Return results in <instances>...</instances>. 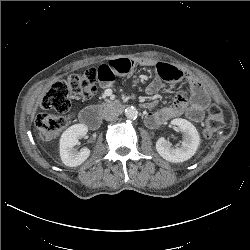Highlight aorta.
Listing matches in <instances>:
<instances>
[{
  "instance_id": "1",
  "label": "aorta",
  "mask_w": 250,
  "mask_h": 250,
  "mask_svg": "<svg viewBox=\"0 0 250 250\" xmlns=\"http://www.w3.org/2000/svg\"><path fill=\"white\" fill-rule=\"evenodd\" d=\"M125 116L128 119H136L138 116V111L135 107L131 106V107H127L125 109Z\"/></svg>"
}]
</instances>
